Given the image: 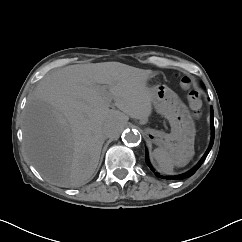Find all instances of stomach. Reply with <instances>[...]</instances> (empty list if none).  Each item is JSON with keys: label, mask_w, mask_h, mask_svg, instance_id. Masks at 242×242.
<instances>
[{"label": "stomach", "mask_w": 242, "mask_h": 242, "mask_svg": "<svg viewBox=\"0 0 242 242\" xmlns=\"http://www.w3.org/2000/svg\"><path fill=\"white\" fill-rule=\"evenodd\" d=\"M150 89L152 104L169 121L171 133L146 128V136L159 148L180 152L182 160L191 159L194 153L195 124L187 106L165 84H158Z\"/></svg>", "instance_id": "1"}]
</instances>
